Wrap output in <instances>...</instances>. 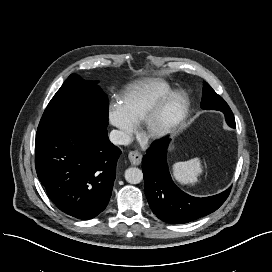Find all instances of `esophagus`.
<instances>
[{
  "label": "esophagus",
  "mask_w": 272,
  "mask_h": 272,
  "mask_svg": "<svg viewBox=\"0 0 272 272\" xmlns=\"http://www.w3.org/2000/svg\"><path fill=\"white\" fill-rule=\"evenodd\" d=\"M128 158H129L131 164L134 166L139 165L142 161V155L137 151H131L128 154Z\"/></svg>",
  "instance_id": "esophagus-1"
}]
</instances>
